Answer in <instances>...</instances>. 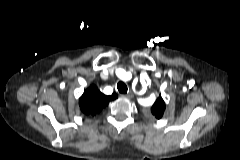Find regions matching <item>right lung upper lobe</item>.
<instances>
[{
  "mask_svg": "<svg viewBox=\"0 0 240 160\" xmlns=\"http://www.w3.org/2000/svg\"><path fill=\"white\" fill-rule=\"evenodd\" d=\"M116 98V93L107 96L101 93L96 86L92 85L86 89L80 97L79 105L84 114L95 115L97 112H100L103 107L108 105L111 100H115Z\"/></svg>",
  "mask_w": 240,
  "mask_h": 160,
  "instance_id": "1",
  "label": "right lung upper lobe"
}]
</instances>
